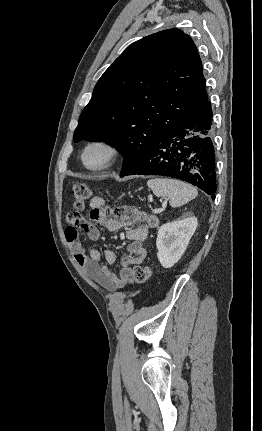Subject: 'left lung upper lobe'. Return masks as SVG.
I'll return each mask as SVG.
<instances>
[{"instance_id":"obj_1","label":"left lung upper lobe","mask_w":262,"mask_h":431,"mask_svg":"<svg viewBox=\"0 0 262 431\" xmlns=\"http://www.w3.org/2000/svg\"><path fill=\"white\" fill-rule=\"evenodd\" d=\"M192 39L168 29L131 44L98 80L74 142L104 141L124 155L121 176L207 101Z\"/></svg>"}]
</instances>
